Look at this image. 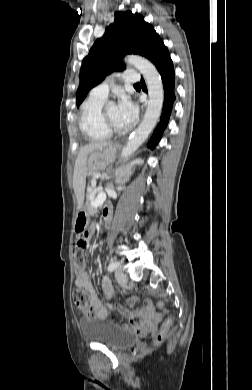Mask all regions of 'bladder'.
Returning a JSON list of instances; mask_svg holds the SVG:
<instances>
[{
	"instance_id": "31cf9c89",
	"label": "bladder",
	"mask_w": 252,
	"mask_h": 390,
	"mask_svg": "<svg viewBox=\"0 0 252 390\" xmlns=\"http://www.w3.org/2000/svg\"><path fill=\"white\" fill-rule=\"evenodd\" d=\"M80 328L87 340L111 349H124L137 341L130 331L98 318L82 320Z\"/></svg>"
}]
</instances>
